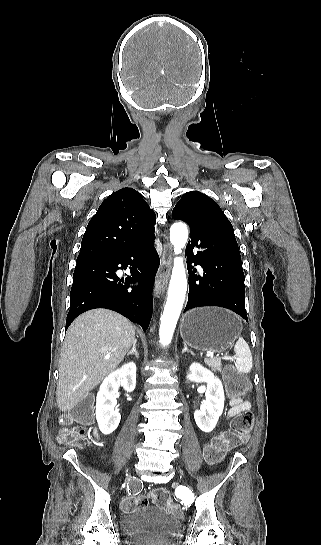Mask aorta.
I'll return each instance as SVG.
<instances>
[{"label":"aorta","mask_w":321,"mask_h":545,"mask_svg":"<svg viewBox=\"0 0 321 545\" xmlns=\"http://www.w3.org/2000/svg\"><path fill=\"white\" fill-rule=\"evenodd\" d=\"M188 240L187 226L182 222L174 223L170 228V241L175 254L182 253ZM187 291V278L182 257L174 258L171 280L168 289V297L160 318L159 329L160 342L163 346L170 344L178 318L180 316Z\"/></svg>","instance_id":"obj_1"}]
</instances>
